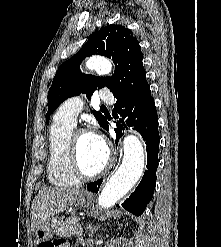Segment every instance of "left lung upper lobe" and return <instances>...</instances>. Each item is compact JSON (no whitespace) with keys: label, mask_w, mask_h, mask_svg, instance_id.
<instances>
[{"label":"left lung upper lobe","mask_w":221,"mask_h":247,"mask_svg":"<svg viewBox=\"0 0 221 247\" xmlns=\"http://www.w3.org/2000/svg\"><path fill=\"white\" fill-rule=\"evenodd\" d=\"M92 54L112 58L115 72L111 77H96L80 72V63ZM142 59L141 47L130 29L112 24L95 32L77 54L58 68L49 89L47 123L50 114L64 100L82 92L90 98L95 89L107 87L117 100L150 92ZM93 115L103 127L107 118L97 111H93Z\"/></svg>","instance_id":"obj_1"}]
</instances>
